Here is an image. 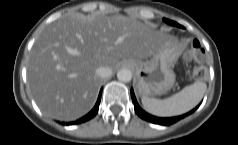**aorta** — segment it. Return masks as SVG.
<instances>
[{
	"mask_svg": "<svg viewBox=\"0 0 238 145\" xmlns=\"http://www.w3.org/2000/svg\"><path fill=\"white\" fill-rule=\"evenodd\" d=\"M117 78L122 82H130L132 79V72L127 68H122L117 72Z\"/></svg>",
	"mask_w": 238,
	"mask_h": 145,
	"instance_id": "1",
	"label": "aorta"
}]
</instances>
